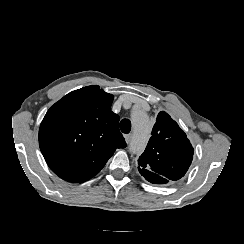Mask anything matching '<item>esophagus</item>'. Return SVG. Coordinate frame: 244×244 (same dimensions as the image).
Segmentation results:
<instances>
[{"mask_svg": "<svg viewBox=\"0 0 244 244\" xmlns=\"http://www.w3.org/2000/svg\"><path fill=\"white\" fill-rule=\"evenodd\" d=\"M125 140H126V143L129 144L132 140V134L130 133V134L125 135Z\"/></svg>", "mask_w": 244, "mask_h": 244, "instance_id": "1", "label": "esophagus"}]
</instances>
